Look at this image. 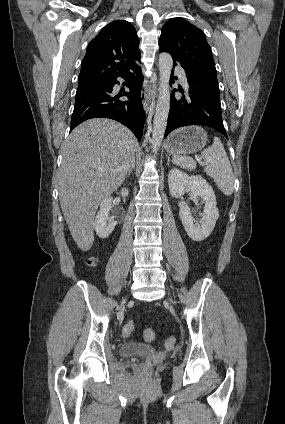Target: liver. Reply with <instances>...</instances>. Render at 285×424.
<instances>
[{"mask_svg": "<svg viewBox=\"0 0 285 424\" xmlns=\"http://www.w3.org/2000/svg\"><path fill=\"white\" fill-rule=\"evenodd\" d=\"M135 143V136L124 125L93 118L76 127L61 147L60 206L82 251L93 245L97 208L123 183L135 159Z\"/></svg>", "mask_w": 285, "mask_h": 424, "instance_id": "1", "label": "liver"}]
</instances>
